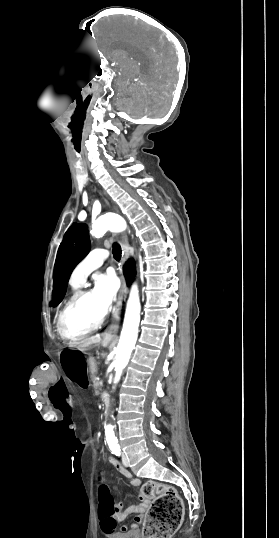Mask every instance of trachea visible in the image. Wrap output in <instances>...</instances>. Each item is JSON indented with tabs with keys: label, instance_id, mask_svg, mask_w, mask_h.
I'll return each instance as SVG.
<instances>
[{
	"label": "trachea",
	"instance_id": "3493384b",
	"mask_svg": "<svg viewBox=\"0 0 279 538\" xmlns=\"http://www.w3.org/2000/svg\"><path fill=\"white\" fill-rule=\"evenodd\" d=\"M112 253H113V256H114L115 260H120L122 250H121V247H120V245L118 243L113 244Z\"/></svg>",
	"mask_w": 279,
	"mask_h": 538
}]
</instances>
